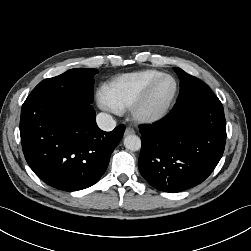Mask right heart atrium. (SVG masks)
I'll return each mask as SVG.
<instances>
[{"label":"right heart atrium","instance_id":"right-heart-atrium-1","mask_svg":"<svg viewBox=\"0 0 251 251\" xmlns=\"http://www.w3.org/2000/svg\"><path fill=\"white\" fill-rule=\"evenodd\" d=\"M96 98H97L98 105L102 109L112 111V112H117L118 111L116 109V107L110 102V100L106 96L104 90L98 91L97 95H96Z\"/></svg>","mask_w":251,"mask_h":251}]
</instances>
